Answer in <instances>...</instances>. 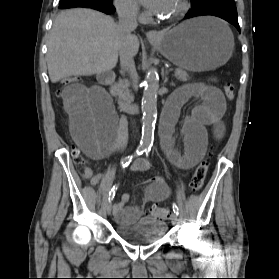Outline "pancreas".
Returning <instances> with one entry per match:
<instances>
[{
  "instance_id": "obj_1",
  "label": "pancreas",
  "mask_w": 279,
  "mask_h": 279,
  "mask_svg": "<svg viewBox=\"0 0 279 279\" xmlns=\"http://www.w3.org/2000/svg\"><path fill=\"white\" fill-rule=\"evenodd\" d=\"M175 77L183 82L189 79V75L187 74V72L180 69H177L175 71ZM115 91L120 99L128 100L131 97L129 91V82L126 79H119L118 83L115 86Z\"/></svg>"
}]
</instances>
